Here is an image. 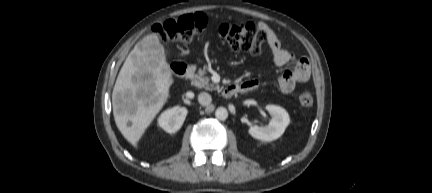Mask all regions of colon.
Instances as JSON below:
<instances>
[{
  "label": "colon",
  "instance_id": "obj_1",
  "mask_svg": "<svg viewBox=\"0 0 432 193\" xmlns=\"http://www.w3.org/2000/svg\"><path fill=\"white\" fill-rule=\"evenodd\" d=\"M207 26V18L202 13H194L170 18L154 25L153 30L165 42L187 43L200 35ZM218 36L235 52H246L253 55L262 52L267 40L266 34L253 23L221 24ZM300 104L311 107L314 102L310 90H304L299 96Z\"/></svg>",
  "mask_w": 432,
  "mask_h": 193
}]
</instances>
